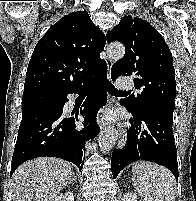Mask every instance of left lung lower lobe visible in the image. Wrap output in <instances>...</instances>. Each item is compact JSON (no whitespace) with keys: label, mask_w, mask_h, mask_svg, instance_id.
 Wrapping results in <instances>:
<instances>
[{"label":"left lung lower lobe","mask_w":196,"mask_h":201,"mask_svg":"<svg viewBox=\"0 0 196 201\" xmlns=\"http://www.w3.org/2000/svg\"><path fill=\"white\" fill-rule=\"evenodd\" d=\"M120 104L124 105L122 102ZM131 113L133 119L130 118L127 143L112 153L113 177L116 178L130 163L146 160L167 167L178 180L177 150L172 131L173 111L146 106L138 113Z\"/></svg>","instance_id":"left-lung-lower-lobe-1"}]
</instances>
